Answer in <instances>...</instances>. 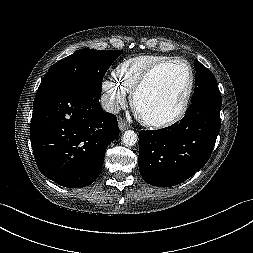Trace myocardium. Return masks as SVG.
<instances>
[{
  "instance_id": "obj_1",
  "label": "myocardium",
  "mask_w": 253,
  "mask_h": 253,
  "mask_svg": "<svg viewBox=\"0 0 253 253\" xmlns=\"http://www.w3.org/2000/svg\"><path fill=\"white\" fill-rule=\"evenodd\" d=\"M174 63H181L183 64L189 73V84H188V88L187 91L185 93L184 99L182 101V104L180 106V108L178 109V111L173 114L172 116L168 117V118H164V119H147L144 118L142 116H140L137 112V99L141 93V91L144 89V87L147 85V83L150 81V79L152 78V76L161 68L166 67L168 65L174 64ZM194 87H195V72L194 69L191 65V63L182 58V57H174V58H170L167 59L165 61L156 63L154 65H152L143 75L142 77L139 79V81L137 82V84L135 85L132 93H131V105L132 108L134 110V112L137 114L138 118L140 119V121L147 126L153 127V128H166V127H170L172 125H175L176 123H178L179 121H181L185 114L188 111L190 102H191V98L193 95V91H194Z\"/></svg>"
}]
</instances>
